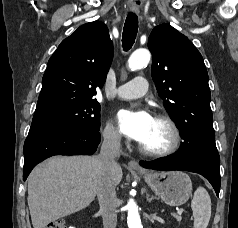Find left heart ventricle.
<instances>
[{
	"instance_id": "left-heart-ventricle-1",
	"label": "left heart ventricle",
	"mask_w": 238,
	"mask_h": 228,
	"mask_svg": "<svg viewBox=\"0 0 238 228\" xmlns=\"http://www.w3.org/2000/svg\"><path fill=\"white\" fill-rule=\"evenodd\" d=\"M170 142L171 133L168 126L154 119L148 135L140 144L151 150H160L167 147Z\"/></svg>"
}]
</instances>
